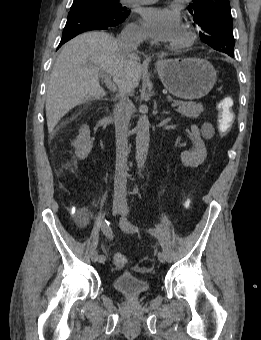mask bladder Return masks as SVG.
Returning a JSON list of instances; mask_svg holds the SVG:
<instances>
[{
    "label": "bladder",
    "instance_id": "obj_1",
    "mask_svg": "<svg viewBox=\"0 0 261 340\" xmlns=\"http://www.w3.org/2000/svg\"><path fill=\"white\" fill-rule=\"evenodd\" d=\"M113 287L127 297H139L149 292V284L145 279L132 274H121L113 279Z\"/></svg>",
    "mask_w": 261,
    "mask_h": 340
}]
</instances>
